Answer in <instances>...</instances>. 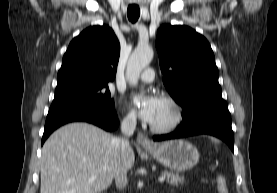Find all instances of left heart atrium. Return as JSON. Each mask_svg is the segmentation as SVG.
<instances>
[{
  "instance_id": "obj_1",
  "label": "left heart atrium",
  "mask_w": 277,
  "mask_h": 193,
  "mask_svg": "<svg viewBox=\"0 0 277 193\" xmlns=\"http://www.w3.org/2000/svg\"><path fill=\"white\" fill-rule=\"evenodd\" d=\"M160 102L161 99L157 96H147L142 104L137 108V113L139 117L148 123H152L157 113Z\"/></svg>"
}]
</instances>
